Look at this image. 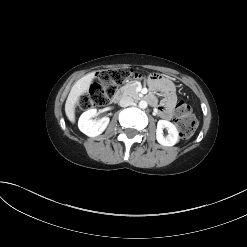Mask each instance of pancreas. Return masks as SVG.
<instances>
[{
  "label": "pancreas",
  "mask_w": 247,
  "mask_h": 247,
  "mask_svg": "<svg viewBox=\"0 0 247 247\" xmlns=\"http://www.w3.org/2000/svg\"><path fill=\"white\" fill-rule=\"evenodd\" d=\"M121 89H123V93H125V94H129L133 97L138 96V92L136 91V84H134V83L133 84H126Z\"/></svg>",
  "instance_id": "obj_1"
}]
</instances>
